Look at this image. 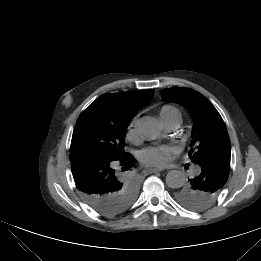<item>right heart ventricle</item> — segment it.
Returning a JSON list of instances; mask_svg holds the SVG:
<instances>
[{
  "label": "right heart ventricle",
  "mask_w": 261,
  "mask_h": 261,
  "mask_svg": "<svg viewBox=\"0 0 261 261\" xmlns=\"http://www.w3.org/2000/svg\"><path fill=\"white\" fill-rule=\"evenodd\" d=\"M174 114L180 115V112L178 111L177 108H175L171 105H164L160 109V117L162 120L169 118L170 116H172Z\"/></svg>",
  "instance_id": "e07e8e85"
}]
</instances>
